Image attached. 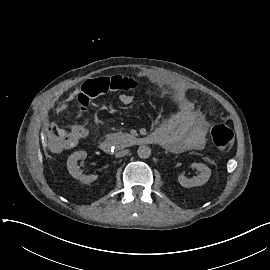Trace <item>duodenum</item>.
<instances>
[{
	"mask_svg": "<svg viewBox=\"0 0 270 270\" xmlns=\"http://www.w3.org/2000/svg\"><path fill=\"white\" fill-rule=\"evenodd\" d=\"M136 145H158L161 144L160 137L155 133H150L144 136L136 137L134 139ZM100 149L105 153H111L113 151V144L111 141L105 139L100 142Z\"/></svg>",
	"mask_w": 270,
	"mask_h": 270,
	"instance_id": "obj_1",
	"label": "duodenum"
}]
</instances>
